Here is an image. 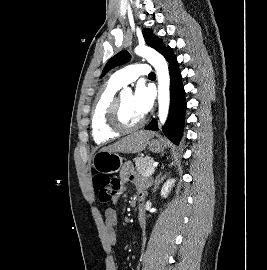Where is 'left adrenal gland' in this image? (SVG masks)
<instances>
[{
	"mask_svg": "<svg viewBox=\"0 0 267 270\" xmlns=\"http://www.w3.org/2000/svg\"><path fill=\"white\" fill-rule=\"evenodd\" d=\"M166 177L165 175H162V173H160L156 179L154 180V189L156 190L159 186V184L164 180V178Z\"/></svg>",
	"mask_w": 267,
	"mask_h": 270,
	"instance_id": "a2214340",
	"label": "left adrenal gland"
}]
</instances>
